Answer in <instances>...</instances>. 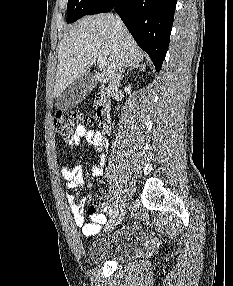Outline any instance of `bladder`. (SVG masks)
I'll return each instance as SVG.
<instances>
[{
	"instance_id": "bladder-1",
	"label": "bladder",
	"mask_w": 233,
	"mask_h": 286,
	"mask_svg": "<svg viewBox=\"0 0 233 286\" xmlns=\"http://www.w3.org/2000/svg\"><path fill=\"white\" fill-rule=\"evenodd\" d=\"M138 243L134 231L124 229L93 243L86 254L92 263H102L109 260L122 262L136 253Z\"/></svg>"
}]
</instances>
